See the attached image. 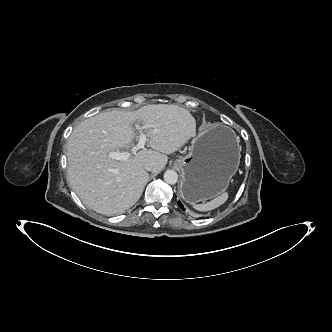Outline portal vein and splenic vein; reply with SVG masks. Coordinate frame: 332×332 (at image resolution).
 <instances>
[{"label": "portal vein and splenic vein", "instance_id": "obj_1", "mask_svg": "<svg viewBox=\"0 0 332 332\" xmlns=\"http://www.w3.org/2000/svg\"><path fill=\"white\" fill-rule=\"evenodd\" d=\"M146 126H136V129L139 131V139L138 143L132 148V152L136 153L138 150L143 149L145 146V143L148 141L146 135L144 134L143 130L146 129ZM130 156V153L128 152H120L118 150L112 151L108 153V157L115 160H121L124 161L128 159Z\"/></svg>", "mask_w": 332, "mask_h": 332}]
</instances>
